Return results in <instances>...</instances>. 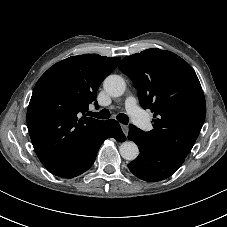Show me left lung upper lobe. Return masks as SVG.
Wrapping results in <instances>:
<instances>
[{"label":"left lung upper lobe","instance_id":"obj_1","mask_svg":"<svg viewBox=\"0 0 227 227\" xmlns=\"http://www.w3.org/2000/svg\"><path fill=\"white\" fill-rule=\"evenodd\" d=\"M118 67L133 81L141 106L154 113V129L146 136L160 149L186 158L206 116L195 71L176 54L157 48L127 56Z\"/></svg>","mask_w":227,"mask_h":227}]
</instances>
